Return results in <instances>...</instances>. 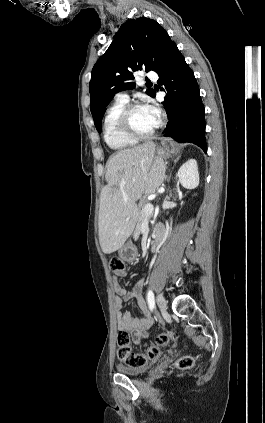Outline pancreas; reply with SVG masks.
Listing matches in <instances>:
<instances>
[{"mask_svg": "<svg viewBox=\"0 0 265 423\" xmlns=\"http://www.w3.org/2000/svg\"><path fill=\"white\" fill-rule=\"evenodd\" d=\"M147 203H149V201L146 200V199H143L140 202V204H139V207L141 208V211L139 213V217H138V220H137L136 228H135V231H134V233L137 234V235H139L141 233V225H142V223L145 220H149L151 218V215H147L145 213V211H144V207H145V205Z\"/></svg>", "mask_w": 265, "mask_h": 423, "instance_id": "1", "label": "pancreas"}]
</instances>
